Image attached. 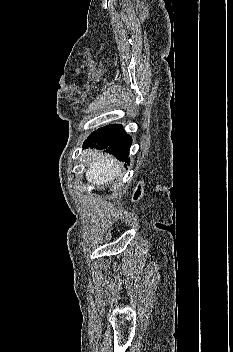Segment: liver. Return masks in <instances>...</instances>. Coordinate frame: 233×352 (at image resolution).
<instances>
[{"label":"liver","mask_w":233,"mask_h":352,"mask_svg":"<svg viewBox=\"0 0 233 352\" xmlns=\"http://www.w3.org/2000/svg\"><path fill=\"white\" fill-rule=\"evenodd\" d=\"M87 156L90 158L86 171V179L89 183L104 186L120 175V165L111 156L92 150H89Z\"/></svg>","instance_id":"obj_1"}]
</instances>
